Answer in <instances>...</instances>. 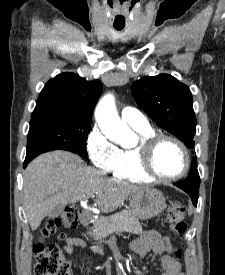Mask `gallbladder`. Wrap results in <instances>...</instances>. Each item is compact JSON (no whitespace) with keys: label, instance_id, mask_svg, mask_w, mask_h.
Masks as SVG:
<instances>
[{"label":"gallbladder","instance_id":"gallbladder-1","mask_svg":"<svg viewBox=\"0 0 225 275\" xmlns=\"http://www.w3.org/2000/svg\"><path fill=\"white\" fill-rule=\"evenodd\" d=\"M64 206L63 205H57L55 206L52 211L48 214L49 218H55L63 213Z\"/></svg>","mask_w":225,"mask_h":275}]
</instances>
